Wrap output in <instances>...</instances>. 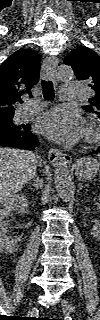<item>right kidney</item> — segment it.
Masks as SVG:
<instances>
[{"mask_svg":"<svg viewBox=\"0 0 100 320\" xmlns=\"http://www.w3.org/2000/svg\"><path fill=\"white\" fill-rule=\"evenodd\" d=\"M28 206V199L23 194H15L4 201H1L0 247L6 253H13L15 251V246L21 240L20 236H7V232H9L8 218L13 211L27 213Z\"/></svg>","mask_w":100,"mask_h":320,"instance_id":"right-kidney-1","label":"right kidney"}]
</instances>
